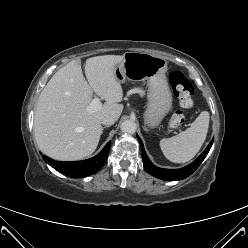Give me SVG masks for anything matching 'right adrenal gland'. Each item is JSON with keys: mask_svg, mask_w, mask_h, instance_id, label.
Returning <instances> with one entry per match:
<instances>
[{"mask_svg": "<svg viewBox=\"0 0 248 248\" xmlns=\"http://www.w3.org/2000/svg\"><path fill=\"white\" fill-rule=\"evenodd\" d=\"M107 127H109V126H104V127L102 128V131H103L105 128H107Z\"/></svg>", "mask_w": 248, "mask_h": 248, "instance_id": "obj_1", "label": "right adrenal gland"}]
</instances>
